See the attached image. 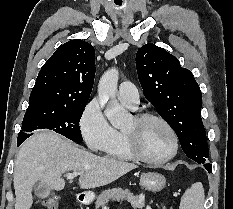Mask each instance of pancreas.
<instances>
[{
  "label": "pancreas",
  "mask_w": 233,
  "mask_h": 209,
  "mask_svg": "<svg viewBox=\"0 0 233 209\" xmlns=\"http://www.w3.org/2000/svg\"><path fill=\"white\" fill-rule=\"evenodd\" d=\"M109 200H126L134 209H142L145 205L144 199L141 195H134L129 190L121 188H112L103 191L95 201V208L104 207Z\"/></svg>",
  "instance_id": "pancreas-1"
}]
</instances>
